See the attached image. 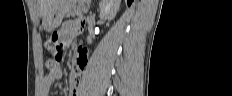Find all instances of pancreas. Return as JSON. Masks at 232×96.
<instances>
[{
  "instance_id": "obj_1",
  "label": "pancreas",
  "mask_w": 232,
  "mask_h": 96,
  "mask_svg": "<svg viewBox=\"0 0 232 96\" xmlns=\"http://www.w3.org/2000/svg\"><path fill=\"white\" fill-rule=\"evenodd\" d=\"M87 11V7L83 2H80L78 5L73 6L68 12H67V17H74L76 15H80L83 12Z\"/></svg>"
}]
</instances>
